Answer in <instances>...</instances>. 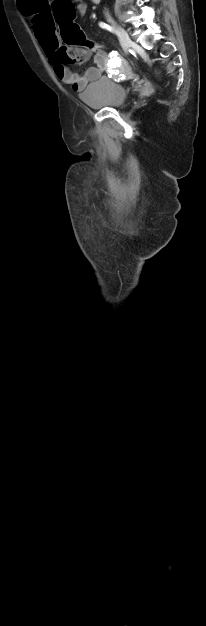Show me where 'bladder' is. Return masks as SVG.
<instances>
[{
    "mask_svg": "<svg viewBox=\"0 0 206 626\" xmlns=\"http://www.w3.org/2000/svg\"><path fill=\"white\" fill-rule=\"evenodd\" d=\"M83 103L92 108H115L122 106L127 99L123 85L108 77H99L89 83L80 94Z\"/></svg>",
    "mask_w": 206,
    "mask_h": 626,
    "instance_id": "bladder-1",
    "label": "bladder"
}]
</instances>
